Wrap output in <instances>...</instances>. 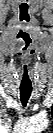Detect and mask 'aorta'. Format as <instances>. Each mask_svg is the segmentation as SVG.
<instances>
[{
    "mask_svg": "<svg viewBox=\"0 0 53 133\" xmlns=\"http://www.w3.org/2000/svg\"><path fill=\"white\" fill-rule=\"evenodd\" d=\"M48 125V120L45 117L36 116L21 123L22 131L25 133H38Z\"/></svg>",
    "mask_w": 53,
    "mask_h": 133,
    "instance_id": "1",
    "label": "aorta"
}]
</instances>
